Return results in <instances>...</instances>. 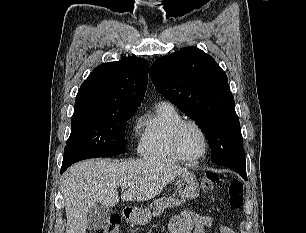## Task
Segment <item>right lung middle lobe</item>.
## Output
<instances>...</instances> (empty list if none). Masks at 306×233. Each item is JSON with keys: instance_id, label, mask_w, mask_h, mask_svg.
Listing matches in <instances>:
<instances>
[{"instance_id": "right-lung-middle-lobe-1", "label": "right lung middle lobe", "mask_w": 306, "mask_h": 233, "mask_svg": "<svg viewBox=\"0 0 306 233\" xmlns=\"http://www.w3.org/2000/svg\"><path fill=\"white\" fill-rule=\"evenodd\" d=\"M137 110L80 106L74 108L71 134L62 165L86 158L109 157L125 151L126 122Z\"/></svg>"}]
</instances>
